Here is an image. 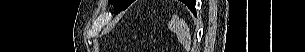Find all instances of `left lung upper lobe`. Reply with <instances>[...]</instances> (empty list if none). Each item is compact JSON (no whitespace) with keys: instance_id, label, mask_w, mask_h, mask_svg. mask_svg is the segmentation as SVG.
Instances as JSON below:
<instances>
[{"instance_id":"left-lung-upper-lobe-1","label":"left lung upper lobe","mask_w":305,"mask_h":52,"mask_svg":"<svg viewBox=\"0 0 305 52\" xmlns=\"http://www.w3.org/2000/svg\"><path fill=\"white\" fill-rule=\"evenodd\" d=\"M133 1L132 0H115L113 1L115 5V11H119L120 9H126ZM187 6H189L193 1L187 0L183 1Z\"/></svg>"}]
</instances>
